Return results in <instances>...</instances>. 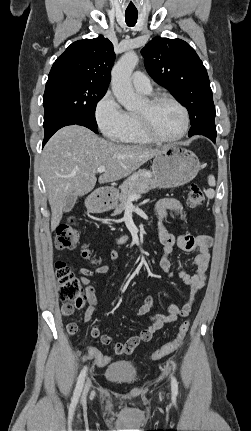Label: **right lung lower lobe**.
<instances>
[{
  "instance_id": "98d812e1",
  "label": "right lung lower lobe",
  "mask_w": 251,
  "mask_h": 431,
  "mask_svg": "<svg viewBox=\"0 0 251 431\" xmlns=\"http://www.w3.org/2000/svg\"><path fill=\"white\" fill-rule=\"evenodd\" d=\"M81 125V126H85L87 128H89L90 130H92L95 133H98L97 127L90 124L89 122H87L86 120H82L79 118H75V117H66V118H60L56 121H54L53 123L49 124L48 126L44 127L45 130V137L43 140V146L45 145V143L49 140V138L60 128L67 126V125Z\"/></svg>"
}]
</instances>
